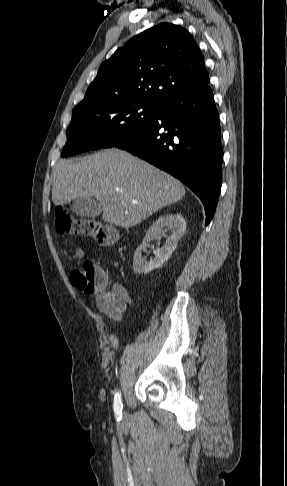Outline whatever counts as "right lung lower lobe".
I'll return each instance as SVG.
<instances>
[{
    "mask_svg": "<svg viewBox=\"0 0 287 486\" xmlns=\"http://www.w3.org/2000/svg\"><path fill=\"white\" fill-rule=\"evenodd\" d=\"M115 147L187 185L204 204L209 224L222 185L223 158L219 115L209 84L161 103L157 116L139 134Z\"/></svg>",
    "mask_w": 287,
    "mask_h": 486,
    "instance_id": "obj_1",
    "label": "right lung lower lobe"
}]
</instances>
